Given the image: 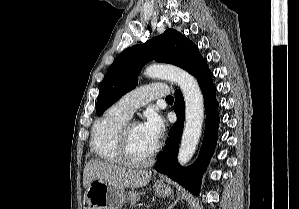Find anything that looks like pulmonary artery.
I'll use <instances>...</instances> for the list:
<instances>
[{"label": "pulmonary artery", "mask_w": 299, "mask_h": 209, "mask_svg": "<svg viewBox=\"0 0 299 209\" xmlns=\"http://www.w3.org/2000/svg\"><path fill=\"white\" fill-rule=\"evenodd\" d=\"M169 94V88L164 83H151L138 87L122 96L116 107L130 117L137 108L147 104L151 100L164 97Z\"/></svg>", "instance_id": "pulmonary-artery-1"}]
</instances>
